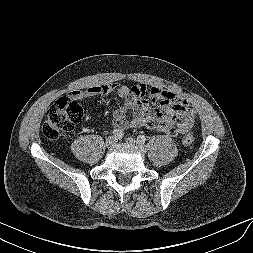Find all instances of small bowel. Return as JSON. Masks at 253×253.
<instances>
[{
    "label": "small bowel",
    "mask_w": 253,
    "mask_h": 253,
    "mask_svg": "<svg viewBox=\"0 0 253 253\" xmlns=\"http://www.w3.org/2000/svg\"><path fill=\"white\" fill-rule=\"evenodd\" d=\"M116 89L123 103L113 111L116 129L144 127L150 132L169 136L186 134L196 120V111L175 92L160 87L147 89L144 84L127 86L113 83L93 85L86 90H73L71 99H94ZM128 113L131 116L128 117Z\"/></svg>",
    "instance_id": "c3829d8e"
}]
</instances>
